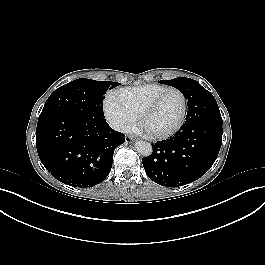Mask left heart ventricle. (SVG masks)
Listing matches in <instances>:
<instances>
[{
	"instance_id": "1",
	"label": "left heart ventricle",
	"mask_w": 265,
	"mask_h": 265,
	"mask_svg": "<svg viewBox=\"0 0 265 265\" xmlns=\"http://www.w3.org/2000/svg\"><path fill=\"white\" fill-rule=\"evenodd\" d=\"M181 113V96L175 91L168 92L145 118L144 129L151 133L167 132L177 124Z\"/></svg>"
}]
</instances>
